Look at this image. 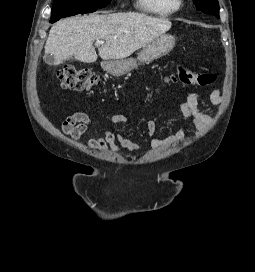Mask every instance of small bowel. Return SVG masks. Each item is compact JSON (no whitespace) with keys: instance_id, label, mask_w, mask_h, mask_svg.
<instances>
[{"instance_id":"1","label":"small bowel","mask_w":255,"mask_h":272,"mask_svg":"<svg viewBox=\"0 0 255 272\" xmlns=\"http://www.w3.org/2000/svg\"><path fill=\"white\" fill-rule=\"evenodd\" d=\"M210 101L220 106L222 103V95L219 89H215L210 95ZM179 108L183 114L184 122L181 129L165 140L154 138L156 132V124L153 119H149L146 123L147 136L151 141L152 147L162 149L167 145L178 143L182 140L185 132L190 126H194L198 130H202L211 121V117L203 113L199 108V98L194 92H189L183 99L178 102ZM108 122L111 124L128 123V118L123 114H114L109 117ZM90 124L89 116L84 112H76L67 117L61 126L62 132L78 141ZM87 146L96 150H105L109 148L113 152H120L122 149L136 151L140 149V145L125 137L122 133H113L104 131L97 139H90Z\"/></svg>"}]
</instances>
